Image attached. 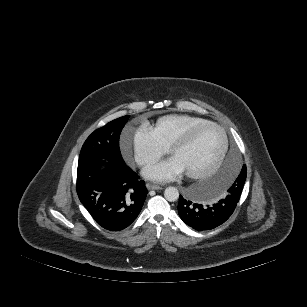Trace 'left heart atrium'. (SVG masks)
Here are the masks:
<instances>
[{
	"instance_id": "39dd6f15",
	"label": "left heart atrium",
	"mask_w": 307,
	"mask_h": 307,
	"mask_svg": "<svg viewBox=\"0 0 307 307\" xmlns=\"http://www.w3.org/2000/svg\"><path fill=\"white\" fill-rule=\"evenodd\" d=\"M183 172L181 165L174 158H171L148 166L143 173L151 180L167 181L177 178Z\"/></svg>"
}]
</instances>
